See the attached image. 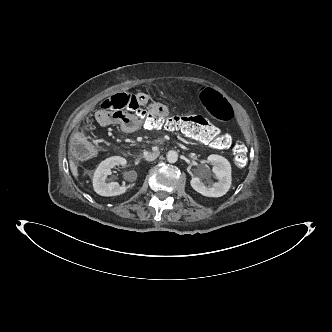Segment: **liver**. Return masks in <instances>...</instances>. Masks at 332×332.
I'll use <instances>...</instances> for the list:
<instances>
[{"label":"liver","instance_id":"obj_1","mask_svg":"<svg viewBox=\"0 0 332 332\" xmlns=\"http://www.w3.org/2000/svg\"><path fill=\"white\" fill-rule=\"evenodd\" d=\"M69 164H70V169H71V172H72L73 176L77 177L79 175L78 174V166L75 164V162L73 160H70Z\"/></svg>","mask_w":332,"mask_h":332}]
</instances>
